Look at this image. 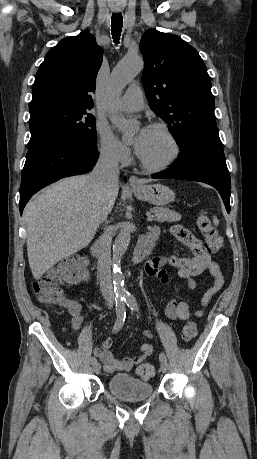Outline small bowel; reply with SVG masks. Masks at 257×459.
Instances as JSON below:
<instances>
[{
	"label": "small bowel",
	"instance_id": "c3829d8e",
	"mask_svg": "<svg viewBox=\"0 0 257 459\" xmlns=\"http://www.w3.org/2000/svg\"><path fill=\"white\" fill-rule=\"evenodd\" d=\"M150 231L158 232L155 226L151 227ZM171 233L183 245L188 247L192 254L190 256H166L156 257L150 260L145 266V272L148 276L158 279L166 288H171L172 283L169 275L163 269L164 266H170L177 270V274L182 279L186 280L190 290L196 289L195 276L209 271L213 275V282L209 289L205 292L201 300V308L195 310L194 314L197 317L204 315V308L208 305L212 297L221 290L224 285V275L221 272L218 264L211 259L210 254L204 248L202 242L187 228L180 225H174L171 228ZM73 283V280H68ZM68 311L72 316V327L78 331L83 321L81 310L82 307L77 301H69ZM165 314L171 320L185 321L190 317V306L185 301L171 298L165 306ZM147 340L152 339V334L149 330L145 331ZM112 340L105 338L102 340L99 347L94 349V354L102 361L104 370L107 373L116 371H130L134 365H137L149 357L153 352V347L150 343H144L140 346L141 354L131 358L115 359L110 350Z\"/></svg>",
	"mask_w": 257,
	"mask_h": 459
}]
</instances>
